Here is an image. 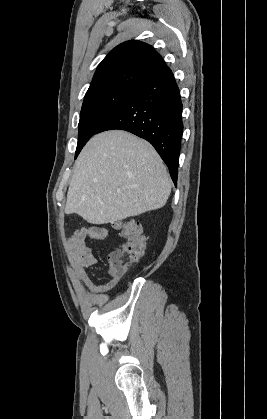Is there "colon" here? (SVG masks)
Returning <instances> with one entry per match:
<instances>
[{"mask_svg":"<svg viewBox=\"0 0 267 419\" xmlns=\"http://www.w3.org/2000/svg\"><path fill=\"white\" fill-rule=\"evenodd\" d=\"M115 227L120 230L125 243L109 254V273L121 276L126 273L145 252V240L139 223L134 220H121Z\"/></svg>","mask_w":267,"mask_h":419,"instance_id":"1","label":"colon"}]
</instances>
